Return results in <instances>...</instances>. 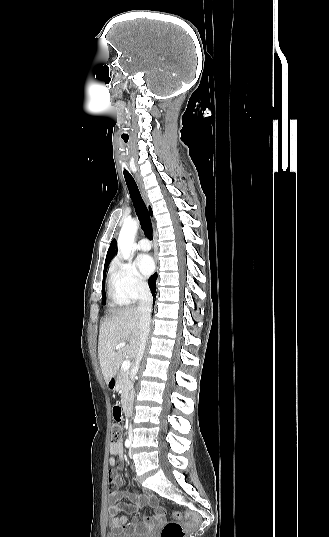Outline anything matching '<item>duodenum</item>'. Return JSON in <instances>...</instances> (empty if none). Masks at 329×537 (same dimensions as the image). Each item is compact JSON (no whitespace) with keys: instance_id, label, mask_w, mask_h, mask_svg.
Returning a JSON list of instances; mask_svg holds the SVG:
<instances>
[{"instance_id":"duodenum-1","label":"duodenum","mask_w":329,"mask_h":537,"mask_svg":"<svg viewBox=\"0 0 329 537\" xmlns=\"http://www.w3.org/2000/svg\"><path fill=\"white\" fill-rule=\"evenodd\" d=\"M116 379L115 378H111L109 381H108V388L111 389V390H115L116 388ZM121 408L124 412L125 415H128L129 414V411H130V407H129V404L127 402H123L121 404Z\"/></svg>"}]
</instances>
